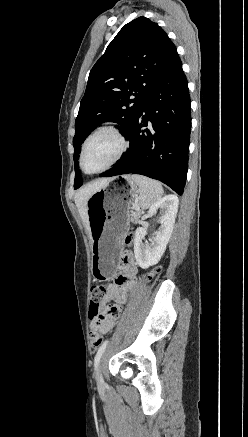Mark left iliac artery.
<instances>
[{
	"instance_id": "left-iliac-artery-1",
	"label": "left iliac artery",
	"mask_w": 248,
	"mask_h": 437,
	"mask_svg": "<svg viewBox=\"0 0 248 437\" xmlns=\"http://www.w3.org/2000/svg\"><path fill=\"white\" fill-rule=\"evenodd\" d=\"M108 342H109V340H105L104 343L99 347V349H98V351L96 353V356H95V359H94V367H95V369H97V367H98V363L100 361V358H101L102 354L104 353V350H105Z\"/></svg>"
}]
</instances>
